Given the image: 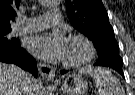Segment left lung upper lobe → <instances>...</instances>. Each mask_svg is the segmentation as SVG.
Instances as JSON below:
<instances>
[{"label":"left lung upper lobe","mask_w":135,"mask_h":95,"mask_svg":"<svg viewBox=\"0 0 135 95\" xmlns=\"http://www.w3.org/2000/svg\"><path fill=\"white\" fill-rule=\"evenodd\" d=\"M72 26L87 36L99 58L119 56V46L101 0H65Z\"/></svg>","instance_id":"5c2ea615"}]
</instances>
